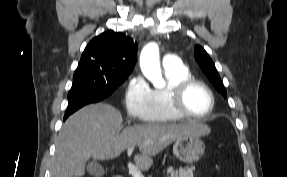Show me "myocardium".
I'll return each mask as SVG.
<instances>
[{
	"label": "myocardium",
	"mask_w": 287,
	"mask_h": 177,
	"mask_svg": "<svg viewBox=\"0 0 287 177\" xmlns=\"http://www.w3.org/2000/svg\"><path fill=\"white\" fill-rule=\"evenodd\" d=\"M195 85H198V86H201L202 88H204L207 91V93L209 94V97L211 100L210 108H209L208 112L204 115L192 114L186 109V107L184 105V99H185L187 91L192 86H195ZM170 103H171V107H172L173 111L182 117L189 118V119H195V120H205V119L209 118L212 115V113L214 112L216 100H215V94H214L212 88L208 84H206L205 82H203L199 79L189 77V78L184 79L180 83H178L171 90Z\"/></svg>",
	"instance_id": "myocardium-1"
}]
</instances>
